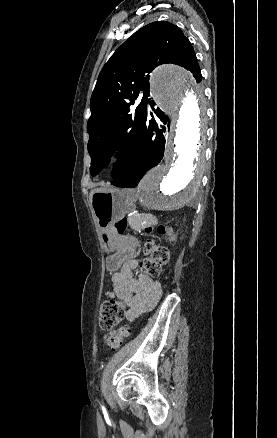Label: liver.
<instances>
[{"label":"liver","instance_id":"liver-1","mask_svg":"<svg viewBox=\"0 0 277 438\" xmlns=\"http://www.w3.org/2000/svg\"><path fill=\"white\" fill-rule=\"evenodd\" d=\"M94 192H96V190H92L91 194H94Z\"/></svg>","mask_w":277,"mask_h":438}]
</instances>
